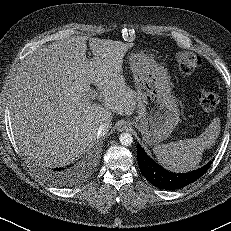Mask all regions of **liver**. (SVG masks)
<instances>
[{
  "label": "liver",
  "mask_w": 231,
  "mask_h": 231,
  "mask_svg": "<svg viewBox=\"0 0 231 231\" xmlns=\"http://www.w3.org/2000/svg\"><path fill=\"white\" fill-rule=\"evenodd\" d=\"M93 53L86 57L87 41ZM134 43L74 36L29 55L10 89L15 138L29 160L46 166L73 162L94 145L97 129L112 114L130 116L135 92L122 74L123 58ZM91 83L100 102L88 95Z\"/></svg>",
  "instance_id": "obj_1"
}]
</instances>
